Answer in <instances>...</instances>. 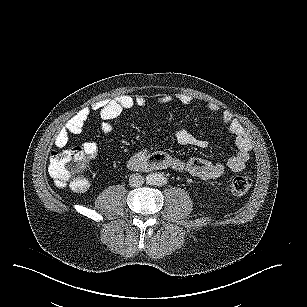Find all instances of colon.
<instances>
[{"mask_svg":"<svg viewBox=\"0 0 307 307\" xmlns=\"http://www.w3.org/2000/svg\"><path fill=\"white\" fill-rule=\"evenodd\" d=\"M88 159L79 147L53 152L49 160V173L60 187H70L75 191H83L88 185L85 170ZM252 186V179L247 175L231 177L227 182V190L236 196L246 194Z\"/></svg>","mask_w":307,"mask_h":307,"instance_id":"obj_1","label":"colon"}]
</instances>
